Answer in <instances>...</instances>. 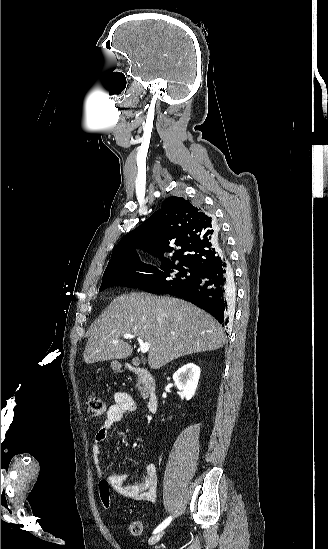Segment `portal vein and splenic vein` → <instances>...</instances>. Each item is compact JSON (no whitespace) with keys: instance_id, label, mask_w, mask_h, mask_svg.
Returning <instances> with one entry per match:
<instances>
[{"instance_id":"portal-vein-and-splenic-vein-1","label":"portal vein and splenic vein","mask_w":328,"mask_h":549,"mask_svg":"<svg viewBox=\"0 0 328 549\" xmlns=\"http://www.w3.org/2000/svg\"><path fill=\"white\" fill-rule=\"evenodd\" d=\"M123 339H137L140 347L141 353H147L150 349L149 343H144L143 339L141 337H136V335H123ZM112 343H117V341H112Z\"/></svg>"}]
</instances>
